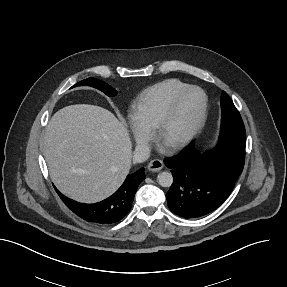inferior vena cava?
<instances>
[{"label": "inferior vena cava", "mask_w": 287, "mask_h": 287, "mask_svg": "<svg viewBox=\"0 0 287 287\" xmlns=\"http://www.w3.org/2000/svg\"><path fill=\"white\" fill-rule=\"evenodd\" d=\"M150 147L147 144L137 145L135 148L133 162L142 163L150 157Z\"/></svg>", "instance_id": "inferior-vena-cava-1"}]
</instances>
